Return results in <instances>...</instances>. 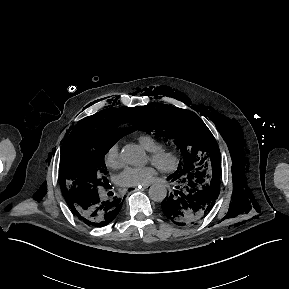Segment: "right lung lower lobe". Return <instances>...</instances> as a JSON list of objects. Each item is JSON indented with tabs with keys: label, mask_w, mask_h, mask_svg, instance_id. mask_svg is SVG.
<instances>
[{
	"label": "right lung lower lobe",
	"mask_w": 289,
	"mask_h": 289,
	"mask_svg": "<svg viewBox=\"0 0 289 289\" xmlns=\"http://www.w3.org/2000/svg\"><path fill=\"white\" fill-rule=\"evenodd\" d=\"M65 200L73 215L86 225L95 227H102L113 221L124 201L119 197L101 198L98 190L78 198Z\"/></svg>",
	"instance_id": "1"
}]
</instances>
